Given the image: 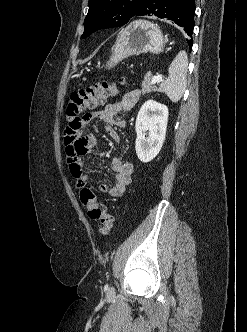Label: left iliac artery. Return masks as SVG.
I'll return each instance as SVG.
<instances>
[{
    "label": "left iliac artery",
    "instance_id": "left-iliac-artery-1",
    "mask_svg": "<svg viewBox=\"0 0 247 332\" xmlns=\"http://www.w3.org/2000/svg\"><path fill=\"white\" fill-rule=\"evenodd\" d=\"M105 288L108 289V285H106Z\"/></svg>",
    "mask_w": 247,
    "mask_h": 332
}]
</instances>
